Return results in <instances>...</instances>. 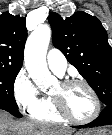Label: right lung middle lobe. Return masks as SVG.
<instances>
[{"instance_id":"1","label":"right lung middle lobe","mask_w":112,"mask_h":135,"mask_svg":"<svg viewBox=\"0 0 112 135\" xmlns=\"http://www.w3.org/2000/svg\"><path fill=\"white\" fill-rule=\"evenodd\" d=\"M21 68H0V106L18 109L14 98V82Z\"/></svg>"}]
</instances>
